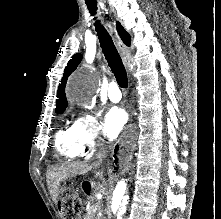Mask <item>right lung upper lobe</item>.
I'll return each instance as SVG.
<instances>
[{
  "label": "right lung upper lobe",
  "mask_w": 221,
  "mask_h": 219,
  "mask_svg": "<svg viewBox=\"0 0 221 219\" xmlns=\"http://www.w3.org/2000/svg\"><path fill=\"white\" fill-rule=\"evenodd\" d=\"M117 31L121 38V40L127 45L130 46V35L124 30L119 22H117ZM82 58L81 54H75L72 56V59L68 62L63 78L61 80V84L58 87L57 100H56V112L62 113L67 107V99L65 95V85L69 75L77 68Z\"/></svg>",
  "instance_id": "obj_1"
}]
</instances>
